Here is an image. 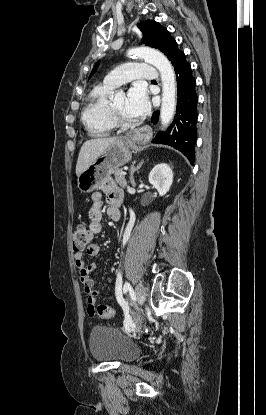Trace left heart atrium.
Returning <instances> with one entry per match:
<instances>
[{"label":"left heart atrium","instance_id":"39dd6f15","mask_svg":"<svg viewBox=\"0 0 266 415\" xmlns=\"http://www.w3.org/2000/svg\"><path fill=\"white\" fill-rule=\"evenodd\" d=\"M150 103L147 91L142 84H135L127 94L126 111L134 118H139L148 113Z\"/></svg>","mask_w":266,"mask_h":415}]
</instances>
